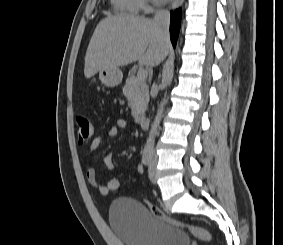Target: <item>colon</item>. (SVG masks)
<instances>
[{"label":"colon","mask_w":283,"mask_h":245,"mask_svg":"<svg viewBox=\"0 0 283 245\" xmlns=\"http://www.w3.org/2000/svg\"><path fill=\"white\" fill-rule=\"evenodd\" d=\"M77 125H78L77 135H78L79 143L87 142L92 137V134H93V125H92L90 118L86 115H79L77 117ZM106 187L109 193L115 192L119 187L118 179L116 178L109 179V181L106 184ZM147 206L155 217L169 223L170 225L185 228L193 236L199 238L202 241H205V242L211 241L212 235L206 229L179 222L171 218L170 216H168L166 213L162 211V209H160L158 206L152 203H147Z\"/></svg>","instance_id":"5ec220e1"}]
</instances>
